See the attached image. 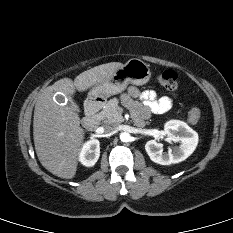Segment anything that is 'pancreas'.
<instances>
[{
	"label": "pancreas",
	"mask_w": 233,
	"mask_h": 233,
	"mask_svg": "<svg viewBox=\"0 0 233 233\" xmlns=\"http://www.w3.org/2000/svg\"><path fill=\"white\" fill-rule=\"evenodd\" d=\"M98 116L103 122L118 124L124 121L122 110L118 106L116 98L109 100Z\"/></svg>",
	"instance_id": "obj_1"
}]
</instances>
